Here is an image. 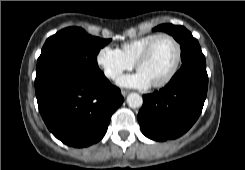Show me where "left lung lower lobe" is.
I'll list each match as a JSON object with an SVG mask.
<instances>
[{
  "instance_id": "obj_1",
  "label": "left lung lower lobe",
  "mask_w": 245,
  "mask_h": 170,
  "mask_svg": "<svg viewBox=\"0 0 245 170\" xmlns=\"http://www.w3.org/2000/svg\"><path fill=\"white\" fill-rule=\"evenodd\" d=\"M207 88L206 67L181 66L164 88L143 96L138 114L143 134L155 141L183 135L201 114Z\"/></svg>"
}]
</instances>
